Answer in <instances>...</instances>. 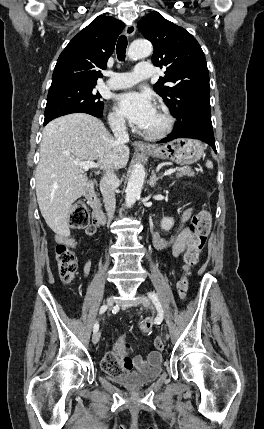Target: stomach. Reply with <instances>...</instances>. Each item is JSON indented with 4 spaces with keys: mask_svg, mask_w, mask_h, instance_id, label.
Returning <instances> with one entry per match:
<instances>
[{
    "mask_svg": "<svg viewBox=\"0 0 264 429\" xmlns=\"http://www.w3.org/2000/svg\"><path fill=\"white\" fill-rule=\"evenodd\" d=\"M146 153L152 157L169 159L178 164H193L204 154V146L199 140L180 138L146 151Z\"/></svg>",
    "mask_w": 264,
    "mask_h": 429,
    "instance_id": "obj_1",
    "label": "stomach"
}]
</instances>
